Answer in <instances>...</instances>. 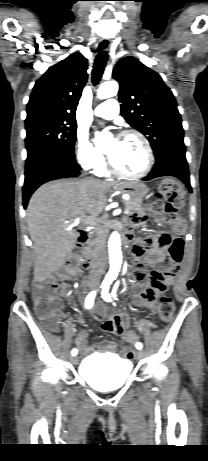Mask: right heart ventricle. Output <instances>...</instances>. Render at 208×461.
Listing matches in <instances>:
<instances>
[{
    "label": "right heart ventricle",
    "mask_w": 208,
    "mask_h": 461,
    "mask_svg": "<svg viewBox=\"0 0 208 461\" xmlns=\"http://www.w3.org/2000/svg\"><path fill=\"white\" fill-rule=\"evenodd\" d=\"M96 173L99 176H104V177L109 176V171L107 170L106 165H105L104 162H102V164L99 167L96 168Z\"/></svg>",
    "instance_id": "right-heart-ventricle-1"
}]
</instances>
